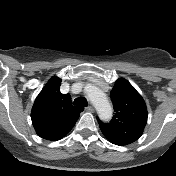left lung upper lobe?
Instances as JSON below:
<instances>
[{
	"instance_id": "1",
	"label": "left lung upper lobe",
	"mask_w": 176,
	"mask_h": 176,
	"mask_svg": "<svg viewBox=\"0 0 176 176\" xmlns=\"http://www.w3.org/2000/svg\"><path fill=\"white\" fill-rule=\"evenodd\" d=\"M115 115L110 123L99 126L104 136L115 145L130 144L142 135L147 123V108L143 98L125 79L120 78L110 93Z\"/></svg>"
}]
</instances>
